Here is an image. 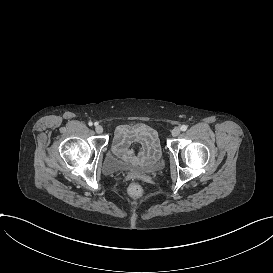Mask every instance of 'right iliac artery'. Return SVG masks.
Masks as SVG:
<instances>
[{"instance_id":"1","label":"right iliac artery","mask_w":273,"mask_h":273,"mask_svg":"<svg viewBox=\"0 0 273 273\" xmlns=\"http://www.w3.org/2000/svg\"><path fill=\"white\" fill-rule=\"evenodd\" d=\"M95 124H96V123H95ZM88 125H89V126H92V125H93V123H92V122H89V123H88Z\"/></svg>"}]
</instances>
